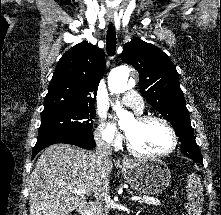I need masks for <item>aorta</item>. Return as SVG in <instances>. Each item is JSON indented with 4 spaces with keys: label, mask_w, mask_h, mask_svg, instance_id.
Here are the masks:
<instances>
[{
    "label": "aorta",
    "mask_w": 221,
    "mask_h": 215,
    "mask_svg": "<svg viewBox=\"0 0 221 215\" xmlns=\"http://www.w3.org/2000/svg\"><path fill=\"white\" fill-rule=\"evenodd\" d=\"M129 68L127 66H121L112 70L108 76V87L112 94H120L128 89ZM120 120L130 117L131 114L124 110L120 103L117 101L113 107Z\"/></svg>",
    "instance_id": "762f6f07"
}]
</instances>
